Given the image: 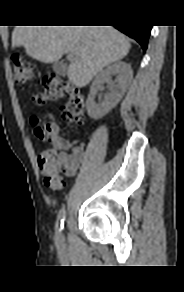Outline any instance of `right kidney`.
Here are the masks:
<instances>
[{"mask_svg": "<svg viewBox=\"0 0 184 292\" xmlns=\"http://www.w3.org/2000/svg\"><path fill=\"white\" fill-rule=\"evenodd\" d=\"M117 75L114 81L112 75ZM133 78V72L130 64L124 61H116L105 69L101 70L95 77L89 91L86 101L88 115L92 119H100L111 111L125 94ZM104 82H109V92L105 94L104 99L98 104L95 103L97 91Z\"/></svg>", "mask_w": 184, "mask_h": 292, "instance_id": "right-kidney-1", "label": "right kidney"}]
</instances>
